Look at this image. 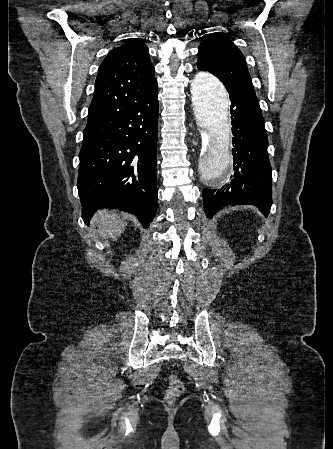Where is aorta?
Instances as JSON below:
<instances>
[{"label":"aorta","instance_id":"762f6f07","mask_svg":"<svg viewBox=\"0 0 333 449\" xmlns=\"http://www.w3.org/2000/svg\"><path fill=\"white\" fill-rule=\"evenodd\" d=\"M191 94L196 120L208 139L205 149L197 156L196 171L203 184L218 189L231 166L229 96L223 84L207 71L195 75Z\"/></svg>","mask_w":333,"mask_h":449}]
</instances>
